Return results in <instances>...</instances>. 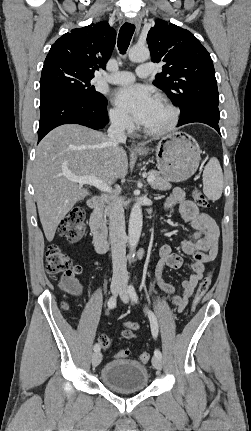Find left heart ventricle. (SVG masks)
I'll return each mask as SVG.
<instances>
[{
    "instance_id": "obj_1",
    "label": "left heart ventricle",
    "mask_w": 251,
    "mask_h": 431,
    "mask_svg": "<svg viewBox=\"0 0 251 431\" xmlns=\"http://www.w3.org/2000/svg\"><path fill=\"white\" fill-rule=\"evenodd\" d=\"M169 118L170 111L158 101L149 118L143 125L150 129H157L163 127L168 122Z\"/></svg>"
}]
</instances>
